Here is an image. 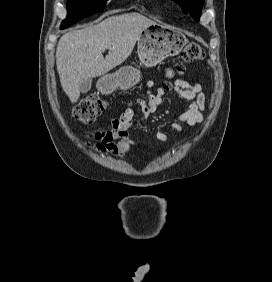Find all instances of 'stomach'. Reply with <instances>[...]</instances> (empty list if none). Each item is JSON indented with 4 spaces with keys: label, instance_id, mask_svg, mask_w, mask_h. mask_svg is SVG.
Returning <instances> with one entry per match:
<instances>
[{
    "label": "stomach",
    "instance_id": "stomach-1",
    "mask_svg": "<svg viewBox=\"0 0 272 282\" xmlns=\"http://www.w3.org/2000/svg\"><path fill=\"white\" fill-rule=\"evenodd\" d=\"M186 42L184 35L165 24L153 23L137 40V54L146 67H153L169 56L178 55ZM140 81V72L133 66H124L100 80L102 92L117 88L127 90Z\"/></svg>",
    "mask_w": 272,
    "mask_h": 282
}]
</instances>
